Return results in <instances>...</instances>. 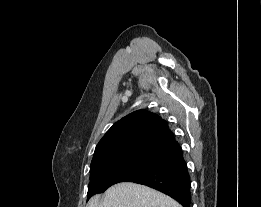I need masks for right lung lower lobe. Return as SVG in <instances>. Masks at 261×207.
Returning a JSON list of instances; mask_svg holds the SVG:
<instances>
[{
	"instance_id": "98d812e1",
	"label": "right lung lower lobe",
	"mask_w": 261,
	"mask_h": 207,
	"mask_svg": "<svg viewBox=\"0 0 261 207\" xmlns=\"http://www.w3.org/2000/svg\"><path fill=\"white\" fill-rule=\"evenodd\" d=\"M125 181L149 186L172 197L183 207H190V176L182 152L158 162Z\"/></svg>"
}]
</instances>
